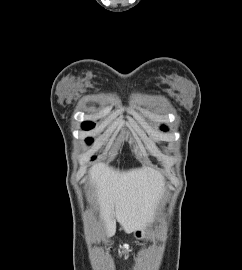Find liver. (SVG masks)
<instances>
[{"label":"liver","mask_w":242,"mask_h":270,"mask_svg":"<svg viewBox=\"0 0 242 270\" xmlns=\"http://www.w3.org/2000/svg\"><path fill=\"white\" fill-rule=\"evenodd\" d=\"M89 179L107 236L115 234L116 220L126 233L146 227L165 193L162 174L146 166L119 171L98 163L90 168Z\"/></svg>","instance_id":"1"}]
</instances>
